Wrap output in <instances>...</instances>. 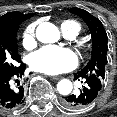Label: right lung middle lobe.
<instances>
[{"mask_svg": "<svg viewBox=\"0 0 117 117\" xmlns=\"http://www.w3.org/2000/svg\"><path fill=\"white\" fill-rule=\"evenodd\" d=\"M18 25L0 28V68L11 69L21 62L16 34Z\"/></svg>", "mask_w": 117, "mask_h": 117, "instance_id": "1", "label": "right lung middle lobe"}]
</instances>
